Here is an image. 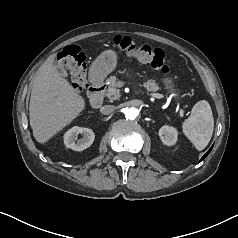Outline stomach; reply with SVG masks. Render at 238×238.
Masks as SVG:
<instances>
[{
  "mask_svg": "<svg viewBox=\"0 0 238 238\" xmlns=\"http://www.w3.org/2000/svg\"><path fill=\"white\" fill-rule=\"evenodd\" d=\"M117 65V54L113 50H106L102 52L93 62L90 69V78L92 82L103 80L108 74L113 72ZM165 88L170 93H175L176 89L172 83V79H163Z\"/></svg>",
  "mask_w": 238,
  "mask_h": 238,
  "instance_id": "1",
  "label": "stomach"
}]
</instances>
